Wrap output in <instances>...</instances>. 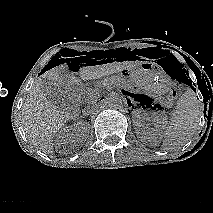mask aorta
Listing matches in <instances>:
<instances>
[{
	"mask_svg": "<svg viewBox=\"0 0 213 213\" xmlns=\"http://www.w3.org/2000/svg\"><path fill=\"white\" fill-rule=\"evenodd\" d=\"M106 104L112 109H118L122 106V98L117 93H112L107 99Z\"/></svg>",
	"mask_w": 213,
	"mask_h": 213,
	"instance_id": "aorta-1",
	"label": "aorta"
}]
</instances>
